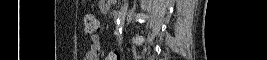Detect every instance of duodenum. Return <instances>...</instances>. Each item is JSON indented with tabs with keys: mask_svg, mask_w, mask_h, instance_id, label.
I'll return each instance as SVG.
<instances>
[{
	"mask_svg": "<svg viewBox=\"0 0 267 60\" xmlns=\"http://www.w3.org/2000/svg\"><path fill=\"white\" fill-rule=\"evenodd\" d=\"M111 16H112L113 18H117V17L119 16V11H118L117 9H113V10L111 11Z\"/></svg>",
	"mask_w": 267,
	"mask_h": 60,
	"instance_id": "duodenum-1",
	"label": "duodenum"
}]
</instances>
